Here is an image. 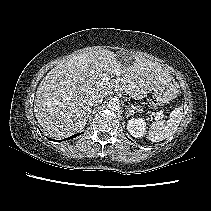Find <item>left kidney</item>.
Instances as JSON below:
<instances>
[{"mask_svg": "<svg viewBox=\"0 0 211 211\" xmlns=\"http://www.w3.org/2000/svg\"><path fill=\"white\" fill-rule=\"evenodd\" d=\"M127 130L134 138H141L146 130V123L141 118H132L128 120Z\"/></svg>", "mask_w": 211, "mask_h": 211, "instance_id": "5707ae66", "label": "left kidney"}]
</instances>
